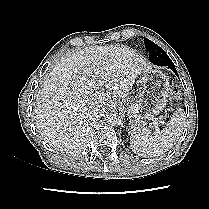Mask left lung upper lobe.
Instances as JSON below:
<instances>
[{"mask_svg": "<svg viewBox=\"0 0 209 209\" xmlns=\"http://www.w3.org/2000/svg\"><path fill=\"white\" fill-rule=\"evenodd\" d=\"M145 46L149 52L150 61L158 66H167L171 70L174 69V64L169 56L154 42L149 39H145Z\"/></svg>", "mask_w": 209, "mask_h": 209, "instance_id": "1", "label": "left lung upper lobe"}]
</instances>
